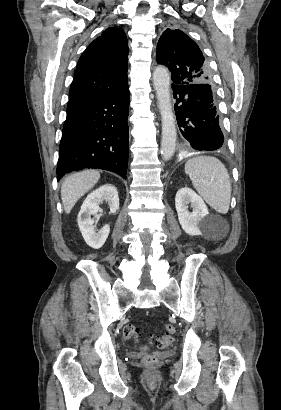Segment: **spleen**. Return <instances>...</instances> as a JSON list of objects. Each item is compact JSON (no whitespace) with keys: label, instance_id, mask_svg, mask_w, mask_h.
<instances>
[{"label":"spleen","instance_id":"3e777b00","mask_svg":"<svg viewBox=\"0 0 281 410\" xmlns=\"http://www.w3.org/2000/svg\"><path fill=\"white\" fill-rule=\"evenodd\" d=\"M196 191L217 212L226 214L231 199V181L223 163L211 156H198L185 164Z\"/></svg>","mask_w":281,"mask_h":410}]
</instances>
